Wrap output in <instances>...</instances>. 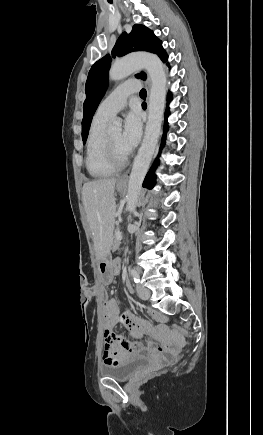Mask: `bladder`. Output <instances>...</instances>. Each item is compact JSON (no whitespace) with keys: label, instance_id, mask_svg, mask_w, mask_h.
I'll return each instance as SVG.
<instances>
[{"label":"bladder","instance_id":"31cf9c89","mask_svg":"<svg viewBox=\"0 0 263 435\" xmlns=\"http://www.w3.org/2000/svg\"><path fill=\"white\" fill-rule=\"evenodd\" d=\"M148 363L145 357L135 356L115 364H104L100 368L103 377L126 381L133 377Z\"/></svg>","mask_w":263,"mask_h":435}]
</instances>
